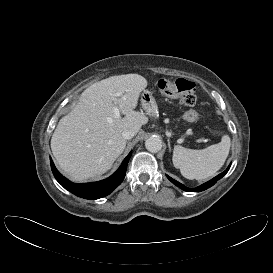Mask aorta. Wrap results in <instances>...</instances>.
Segmentation results:
<instances>
[{"label":"aorta","mask_w":273,"mask_h":273,"mask_svg":"<svg viewBox=\"0 0 273 273\" xmlns=\"http://www.w3.org/2000/svg\"><path fill=\"white\" fill-rule=\"evenodd\" d=\"M145 147L149 152L157 153L162 149V140L157 136L150 137L145 141Z\"/></svg>","instance_id":"762f6f07"}]
</instances>
